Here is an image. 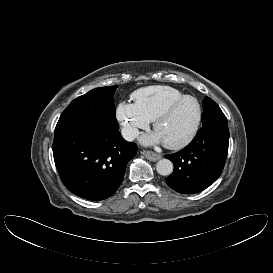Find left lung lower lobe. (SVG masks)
<instances>
[{"label": "left lung lower lobe", "mask_w": 273, "mask_h": 273, "mask_svg": "<svg viewBox=\"0 0 273 273\" xmlns=\"http://www.w3.org/2000/svg\"><path fill=\"white\" fill-rule=\"evenodd\" d=\"M228 142V124L199 129L187 147L165 155L174 164L173 173L166 179L167 184L183 194L206 189L222 173Z\"/></svg>", "instance_id": "0a47b994"}]
</instances>
